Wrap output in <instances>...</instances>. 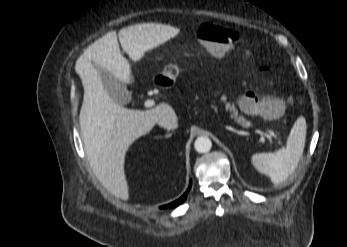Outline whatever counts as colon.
Wrapping results in <instances>:
<instances>
[{
  "label": "colon",
  "mask_w": 347,
  "mask_h": 247,
  "mask_svg": "<svg viewBox=\"0 0 347 247\" xmlns=\"http://www.w3.org/2000/svg\"><path fill=\"white\" fill-rule=\"evenodd\" d=\"M197 38L207 52L217 58L225 56L240 42V34L237 31L214 23L202 24L197 30ZM261 69L264 71L267 66L263 65ZM239 107L250 116H278L284 108V102L267 100L265 94L249 92L239 100Z\"/></svg>",
  "instance_id": "colon-1"
}]
</instances>
